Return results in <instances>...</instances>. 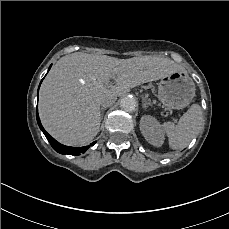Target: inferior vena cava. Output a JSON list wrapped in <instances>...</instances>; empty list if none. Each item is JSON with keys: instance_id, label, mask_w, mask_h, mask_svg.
Masks as SVG:
<instances>
[{"instance_id": "inferior-vena-cava-1", "label": "inferior vena cava", "mask_w": 229, "mask_h": 229, "mask_svg": "<svg viewBox=\"0 0 229 229\" xmlns=\"http://www.w3.org/2000/svg\"><path fill=\"white\" fill-rule=\"evenodd\" d=\"M101 105H102L103 107H110V106L113 105V103H110L109 101H104V102H102Z\"/></svg>"}]
</instances>
